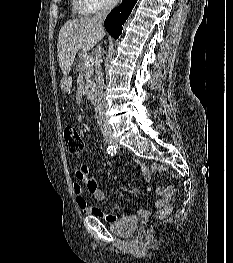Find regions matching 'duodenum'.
<instances>
[{
  "instance_id": "obj_1",
  "label": "duodenum",
  "mask_w": 233,
  "mask_h": 263,
  "mask_svg": "<svg viewBox=\"0 0 233 263\" xmlns=\"http://www.w3.org/2000/svg\"><path fill=\"white\" fill-rule=\"evenodd\" d=\"M84 89L87 92V94H94L93 84L94 81L92 78H85L84 79ZM91 103H98V98H95V96H92Z\"/></svg>"
}]
</instances>
